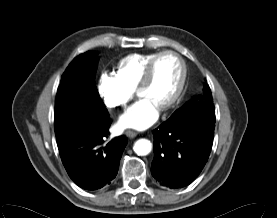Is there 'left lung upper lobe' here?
<instances>
[{"label": "left lung upper lobe", "mask_w": 277, "mask_h": 218, "mask_svg": "<svg viewBox=\"0 0 277 218\" xmlns=\"http://www.w3.org/2000/svg\"><path fill=\"white\" fill-rule=\"evenodd\" d=\"M206 112L215 113L212 93L208 84L203 87V92L200 95L194 96L180 109L176 110L170 118L186 119L192 114H201Z\"/></svg>", "instance_id": "left-lung-upper-lobe-1"}]
</instances>
